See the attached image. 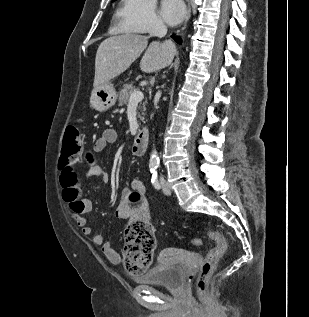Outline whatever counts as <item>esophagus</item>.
I'll list each match as a JSON object with an SVG mask.
<instances>
[{"mask_svg": "<svg viewBox=\"0 0 309 317\" xmlns=\"http://www.w3.org/2000/svg\"><path fill=\"white\" fill-rule=\"evenodd\" d=\"M190 16H191V7H190V5H189L188 11H187V15H186L185 21H184V27L186 26L187 22L189 21Z\"/></svg>", "mask_w": 309, "mask_h": 317, "instance_id": "esophagus-1", "label": "esophagus"}]
</instances>
